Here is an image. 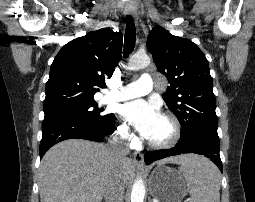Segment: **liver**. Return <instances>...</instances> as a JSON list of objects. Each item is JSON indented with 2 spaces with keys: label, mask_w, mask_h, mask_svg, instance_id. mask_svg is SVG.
I'll return each mask as SVG.
<instances>
[{
  "label": "liver",
  "mask_w": 255,
  "mask_h": 202,
  "mask_svg": "<svg viewBox=\"0 0 255 202\" xmlns=\"http://www.w3.org/2000/svg\"><path fill=\"white\" fill-rule=\"evenodd\" d=\"M193 155H179L157 164L183 165ZM134 174L131 159L119 161L109 147L83 139H69L50 148L39 167L41 202H101L111 178L119 175L124 186Z\"/></svg>",
  "instance_id": "obj_1"
}]
</instances>
